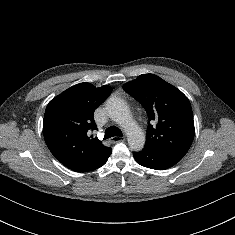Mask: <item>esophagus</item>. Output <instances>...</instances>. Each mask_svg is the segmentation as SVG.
<instances>
[{
  "instance_id": "1",
  "label": "esophagus",
  "mask_w": 235,
  "mask_h": 235,
  "mask_svg": "<svg viewBox=\"0 0 235 235\" xmlns=\"http://www.w3.org/2000/svg\"><path fill=\"white\" fill-rule=\"evenodd\" d=\"M125 140V137H120V136H114L110 139L111 143H118V142H122Z\"/></svg>"
}]
</instances>
